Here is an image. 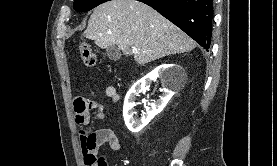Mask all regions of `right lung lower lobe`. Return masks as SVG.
<instances>
[{
	"mask_svg": "<svg viewBox=\"0 0 277 166\" xmlns=\"http://www.w3.org/2000/svg\"><path fill=\"white\" fill-rule=\"evenodd\" d=\"M143 2L209 51L212 37L213 0H137Z\"/></svg>",
	"mask_w": 277,
	"mask_h": 166,
	"instance_id": "right-lung-lower-lobe-1",
	"label": "right lung lower lobe"
}]
</instances>
